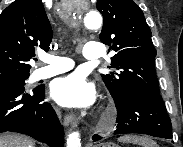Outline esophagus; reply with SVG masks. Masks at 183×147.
I'll list each match as a JSON object with an SVG mask.
<instances>
[{
    "instance_id": "obj_1",
    "label": "esophagus",
    "mask_w": 183,
    "mask_h": 147,
    "mask_svg": "<svg viewBox=\"0 0 183 147\" xmlns=\"http://www.w3.org/2000/svg\"><path fill=\"white\" fill-rule=\"evenodd\" d=\"M63 122L65 126H69V125H76V118L72 115V114H67L64 116L63 118Z\"/></svg>"
}]
</instances>
